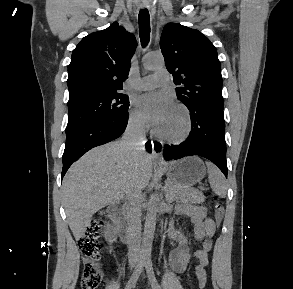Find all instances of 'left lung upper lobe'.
<instances>
[{"label": "left lung upper lobe", "instance_id": "1", "mask_svg": "<svg viewBox=\"0 0 293 289\" xmlns=\"http://www.w3.org/2000/svg\"><path fill=\"white\" fill-rule=\"evenodd\" d=\"M160 48L173 74L178 99L189 110L211 106L223 110L221 64L216 47L201 32L178 23L165 25Z\"/></svg>", "mask_w": 293, "mask_h": 289}]
</instances>
